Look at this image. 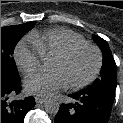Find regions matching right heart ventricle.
<instances>
[{"label":"right heart ventricle","mask_w":123,"mask_h":123,"mask_svg":"<svg viewBox=\"0 0 123 123\" xmlns=\"http://www.w3.org/2000/svg\"><path fill=\"white\" fill-rule=\"evenodd\" d=\"M29 38L40 49L43 56L86 42L81 34L67 28H51L42 32H34Z\"/></svg>","instance_id":"obj_1"}]
</instances>
